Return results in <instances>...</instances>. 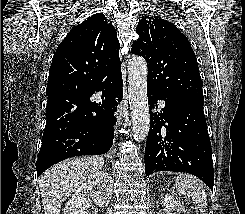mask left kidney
Here are the masks:
<instances>
[{
  "label": "left kidney",
  "instance_id": "obj_1",
  "mask_svg": "<svg viewBox=\"0 0 245 214\" xmlns=\"http://www.w3.org/2000/svg\"><path fill=\"white\" fill-rule=\"evenodd\" d=\"M180 202L176 201L173 197L166 195L162 200L161 214H178L175 210L179 209Z\"/></svg>",
  "mask_w": 245,
  "mask_h": 214
}]
</instances>
